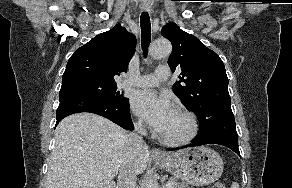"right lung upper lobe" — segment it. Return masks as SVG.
<instances>
[{
  "label": "right lung upper lobe",
  "instance_id": "right-lung-upper-lobe-1",
  "mask_svg": "<svg viewBox=\"0 0 292 188\" xmlns=\"http://www.w3.org/2000/svg\"><path fill=\"white\" fill-rule=\"evenodd\" d=\"M135 46V36L117 24L74 52L62 80L88 77L115 81V75L126 71Z\"/></svg>",
  "mask_w": 292,
  "mask_h": 188
}]
</instances>
